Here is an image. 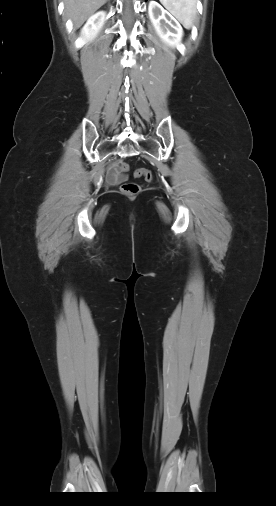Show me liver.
Here are the masks:
<instances>
[{
	"mask_svg": "<svg viewBox=\"0 0 276 506\" xmlns=\"http://www.w3.org/2000/svg\"><path fill=\"white\" fill-rule=\"evenodd\" d=\"M65 14L71 18L75 28H79L107 0H64Z\"/></svg>",
	"mask_w": 276,
	"mask_h": 506,
	"instance_id": "obj_1",
	"label": "liver"
}]
</instances>
